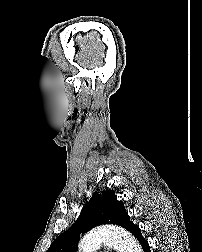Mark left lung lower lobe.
I'll use <instances>...</instances> for the list:
<instances>
[{
  "label": "left lung lower lobe",
  "mask_w": 202,
  "mask_h": 252,
  "mask_svg": "<svg viewBox=\"0 0 202 252\" xmlns=\"http://www.w3.org/2000/svg\"><path fill=\"white\" fill-rule=\"evenodd\" d=\"M128 231H130L136 237V239L139 241L144 252H151L150 246H149L148 242L145 240V238L141 235V230L138 226L133 224L128 229Z\"/></svg>",
  "instance_id": "obj_1"
}]
</instances>
